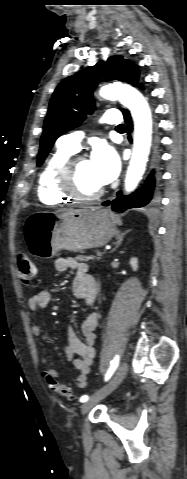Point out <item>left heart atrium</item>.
<instances>
[{
  "label": "left heart atrium",
  "mask_w": 187,
  "mask_h": 479,
  "mask_svg": "<svg viewBox=\"0 0 187 479\" xmlns=\"http://www.w3.org/2000/svg\"><path fill=\"white\" fill-rule=\"evenodd\" d=\"M90 163L96 180L102 186L113 181L120 171V160L116 151L105 142L94 145Z\"/></svg>",
  "instance_id": "left-heart-atrium-1"
}]
</instances>
